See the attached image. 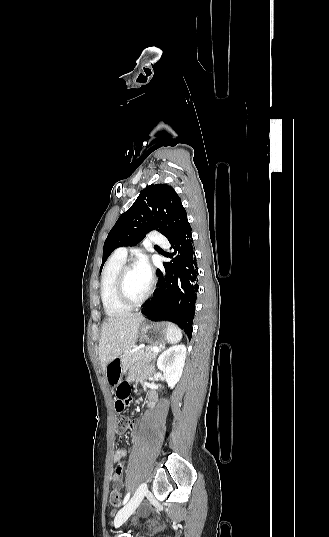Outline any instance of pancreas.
<instances>
[{
  "label": "pancreas",
  "instance_id": "obj_1",
  "mask_svg": "<svg viewBox=\"0 0 329 537\" xmlns=\"http://www.w3.org/2000/svg\"><path fill=\"white\" fill-rule=\"evenodd\" d=\"M148 348L149 349L143 352H140V350L126 351L121 359L123 369H128L137 362H147L153 358H156V353L151 349L152 347Z\"/></svg>",
  "mask_w": 329,
  "mask_h": 537
}]
</instances>
